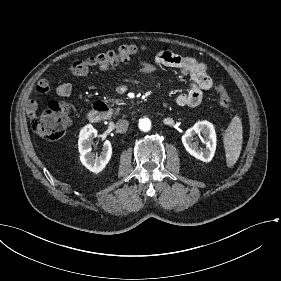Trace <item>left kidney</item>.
<instances>
[{"label": "left kidney", "mask_w": 281, "mask_h": 281, "mask_svg": "<svg viewBox=\"0 0 281 281\" xmlns=\"http://www.w3.org/2000/svg\"><path fill=\"white\" fill-rule=\"evenodd\" d=\"M200 133L204 136L205 148H199L198 143L192 141L193 136ZM182 143L189 154L203 162H210L216 150V133L213 124L206 120L196 122L182 136Z\"/></svg>", "instance_id": "obj_1"}]
</instances>
